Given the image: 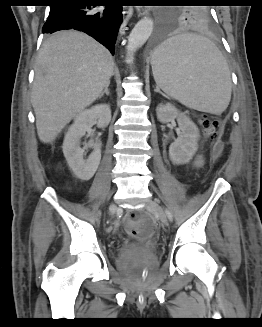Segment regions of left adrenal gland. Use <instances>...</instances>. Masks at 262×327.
Instances as JSON below:
<instances>
[{
  "label": "left adrenal gland",
  "mask_w": 262,
  "mask_h": 327,
  "mask_svg": "<svg viewBox=\"0 0 262 327\" xmlns=\"http://www.w3.org/2000/svg\"><path fill=\"white\" fill-rule=\"evenodd\" d=\"M154 91H155V92H158V93H160V94H162V92L160 91V89H159L158 86H156V89H155Z\"/></svg>",
  "instance_id": "1"
}]
</instances>
